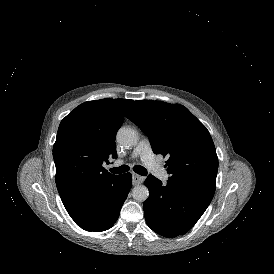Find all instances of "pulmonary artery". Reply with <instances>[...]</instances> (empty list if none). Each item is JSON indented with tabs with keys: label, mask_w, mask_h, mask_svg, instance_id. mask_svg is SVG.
<instances>
[{
	"label": "pulmonary artery",
	"mask_w": 274,
	"mask_h": 274,
	"mask_svg": "<svg viewBox=\"0 0 274 274\" xmlns=\"http://www.w3.org/2000/svg\"><path fill=\"white\" fill-rule=\"evenodd\" d=\"M132 158H140L145 166L148 167L150 173L157 176L163 175V169L155 166L154 155L152 152L150 141L147 138H142L132 152ZM122 161L116 162V165H121ZM166 176H164V179Z\"/></svg>",
	"instance_id": "e3ab8cb5"
}]
</instances>
